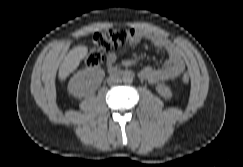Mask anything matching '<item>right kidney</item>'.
<instances>
[{
    "mask_svg": "<svg viewBox=\"0 0 243 167\" xmlns=\"http://www.w3.org/2000/svg\"><path fill=\"white\" fill-rule=\"evenodd\" d=\"M105 73L100 68H87L78 71L69 81L68 92L77 98L93 93L101 85Z\"/></svg>",
    "mask_w": 243,
    "mask_h": 167,
    "instance_id": "obj_1",
    "label": "right kidney"
}]
</instances>
